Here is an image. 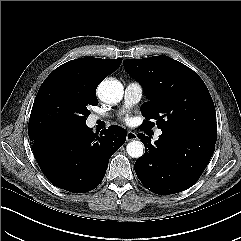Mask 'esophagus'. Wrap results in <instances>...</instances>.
<instances>
[{"instance_id": "1", "label": "esophagus", "mask_w": 241, "mask_h": 241, "mask_svg": "<svg viewBox=\"0 0 241 241\" xmlns=\"http://www.w3.org/2000/svg\"><path fill=\"white\" fill-rule=\"evenodd\" d=\"M127 141H133L137 139V134L133 131H128L126 134Z\"/></svg>"}]
</instances>
